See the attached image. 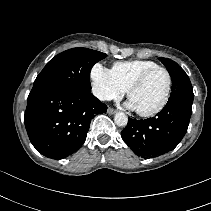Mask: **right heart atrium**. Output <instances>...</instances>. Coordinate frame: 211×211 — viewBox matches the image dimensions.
Returning <instances> with one entry per match:
<instances>
[{
    "label": "right heart atrium",
    "instance_id": "right-heart-atrium-1",
    "mask_svg": "<svg viewBox=\"0 0 211 211\" xmlns=\"http://www.w3.org/2000/svg\"><path fill=\"white\" fill-rule=\"evenodd\" d=\"M91 78L93 81V93L100 100L118 99L125 93V90L114 78L111 70L99 63L93 66Z\"/></svg>",
    "mask_w": 211,
    "mask_h": 211
}]
</instances>
